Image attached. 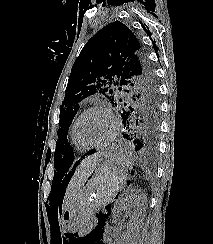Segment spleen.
Masks as SVG:
<instances>
[{"label":"spleen","instance_id":"3e777b00","mask_svg":"<svg viewBox=\"0 0 213 244\" xmlns=\"http://www.w3.org/2000/svg\"><path fill=\"white\" fill-rule=\"evenodd\" d=\"M124 160H125V162H126V165L129 166V165H130L129 160H128L127 158H125V157H124Z\"/></svg>","mask_w":213,"mask_h":244}]
</instances>
